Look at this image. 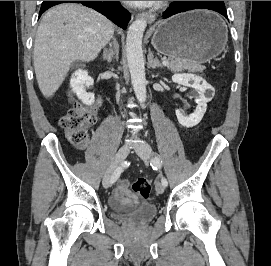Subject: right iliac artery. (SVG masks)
I'll list each match as a JSON object with an SVG mask.
<instances>
[{"label":"right iliac artery","instance_id":"82829eb1","mask_svg":"<svg viewBox=\"0 0 271 266\" xmlns=\"http://www.w3.org/2000/svg\"><path fill=\"white\" fill-rule=\"evenodd\" d=\"M130 163L125 161L121 166L117 167L116 170L114 171L111 182L114 183L117 181V179L120 177L121 173L124 171L125 168L129 166Z\"/></svg>","mask_w":271,"mask_h":266}]
</instances>
